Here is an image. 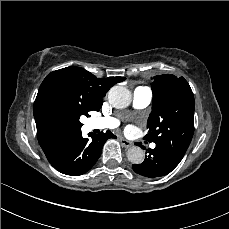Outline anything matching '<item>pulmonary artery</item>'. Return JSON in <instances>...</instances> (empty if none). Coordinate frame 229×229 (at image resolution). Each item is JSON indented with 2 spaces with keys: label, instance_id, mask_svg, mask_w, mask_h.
<instances>
[{
  "label": "pulmonary artery",
  "instance_id": "e3ab8cb5",
  "mask_svg": "<svg viewBox=\"0 0 229 229\" xmlns=\"http://www.w3.org/2000/svg\"><path fill=\"white\" fill-rule=\"evenodd\" d=\"M133 106L137 109H143L147 107L152 101V91L147 86L137 87L132 94ZM118 125V120L115 118H100L90 119V129H113ZM155 145L153 144L152 147Z\"/></svg>",
  "mask_w": 229,
  "mask_h": 229
}]
</instances>
